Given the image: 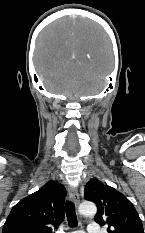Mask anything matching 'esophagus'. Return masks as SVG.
Returning <instances> with one entry per match:
<instances>
[{"label": "esophagus", "mask_w": 145, "mask_h": 233, "mask_svg": "<svg viewBox=\"0 0 145 233\" xmlns=\"http://www.w3.org/2000/svg\"><path fill=\"white\" fill-rule=\"evenodd\" d=\"M68 194H69L70 199L75 203L76 206H78L80 202V197H79L77 189L73 186H69Z\"/></svg>", "instance_id": "34e87169"}]
</instances>
